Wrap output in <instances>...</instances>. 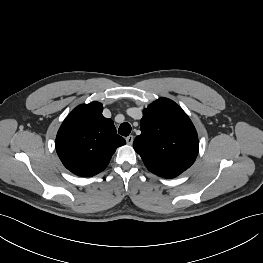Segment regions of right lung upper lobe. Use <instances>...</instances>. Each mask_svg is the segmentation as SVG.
Listing matches in <instances>:
<instances>
[{
	"label": "right lung upper lobe",
	"instance_id": "obj_1",
	"mask_svg": "<svg viewBox=\"0 0 263 263\" xmlns=\"http://www.w3.org/2000/svg\"><path fill=\"white\" fill-rule=\"evenodd\" d=\"M102 104L76 107L62 123L56 137V151L72 173L90 177L104 170L115 150L126 143L111 119L102 115Z\"/></svg>",
	"mask_w": 263,
	"mask_h": 263
}]
</instances>
